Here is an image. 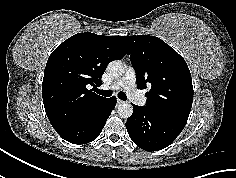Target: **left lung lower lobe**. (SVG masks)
<instances>
[{
	"label": "left lung lower lobe",
	"mask_w": 236,
	"mask_h": 178,
	"mask_svg": "<svg viewBox=\"0 0 236 178\" xmlns=\"http://www.w3.org/2000/svg\"><path fill=\"white\" fill-rule=\"evenodd\" d=\"M133 114L127 119L126 129L132 141L146 151H157L169 146L181 133L183 120L133 104Z\"/></svg>",
	"instance_id": "obj_1"
}]
</instances>
